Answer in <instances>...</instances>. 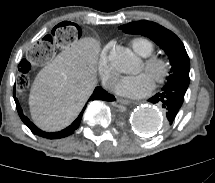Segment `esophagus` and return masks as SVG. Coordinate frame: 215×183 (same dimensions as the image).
I'll return each instance as SVG.
<instances>
[{
  "instance_id": "34e87169",
  "label": "esophagus",
  "mask_w": 215,
  "mask_h": 183,
  "mask_svg": "<svg viewBox=\"0 0 215 183\" xmlns=\"http://www.w3.org/2000/svg\"><path fill=\"white\" fill-rule=\"evenodd\" d=\"M118 102L124 105H129L132 103L130 100L124 98H118Z\"/></svg>"
}]
</instances>
